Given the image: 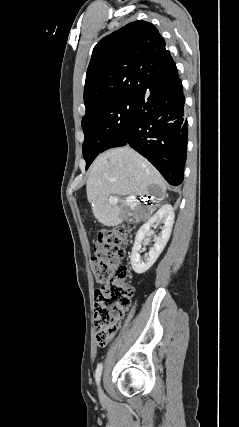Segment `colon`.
<instances>
[{
  "label": "colon",
  "mask_w": 239,
  "mask_h": 427,
  "mask_svg": "<svg viewBox=\"0 0 239 427\" xmlns=\"http://www.w3.org/2000/svg\"><path fill=\"white\" fill-rule=\"evenodd\" d=\"M128 234L125 226L101 231L91 260L94 279L100 284L94 296V326L101 347L113 338L134 294L128 268L122 263Z\"/></svg>",
  "instance_id": "colon-1"
}]
</instances>
